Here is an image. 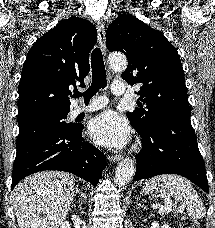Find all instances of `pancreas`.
Returning a JSON list of instances; mask_svg holds the SVG:
<instances>
[{"label":"pancreas","instance_id":"1","mask_svg":"<svg viewBox=\"0 0 215 228\" xmlns=\"http://www.w3.org/2000/svg\"><path fill=\"white\" fill-rule=\"evenodd\" d=\"M157 214H161V216H165V212H162V210H156Z\"/></svg>","mask_w":215,"mask_h":228}]
</instances>
